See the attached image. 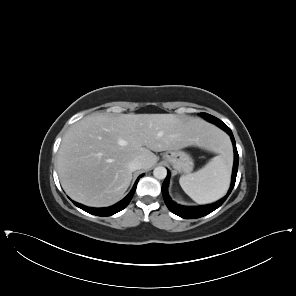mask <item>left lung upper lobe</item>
<instances>
[{
  "instance_id": "left-lung-upper-lobe-1",
  "label": "left lung upper lobe",
  "mask_w": 296,
  "mask_h": 296,
  "mask_svg": "<svg viewBox=\"0 0 296 296\" xmlns=\"http://www.w3.org/2000/svg\"><path fill=\"white\" fill-rule=\"evenodd\" d=\"M202 117H204L207 121L211 122V123H214L216 125L218 124H224L221 120H219L218 118L210 115V114H207V113H201L200 114ZM226 125V124H225Z\"/></svg>"
}]
</instances>
